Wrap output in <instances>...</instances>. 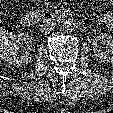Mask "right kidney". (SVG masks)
<instances>
[{
	"label": "right kidney",
	"mask_w": 113,
	"mask_h": 113,
	"mask_svg": "<svg viewBox=\"0 0 113 113\" xmlns=\"http://www.w3.org/2000/svg\"><path fill=\"white\" fill-rule=\"evenodd\" d=\"M25 43L23 52L19 55V45ZM32 46V39L27 33H19L16 38L9 45L6 53L4 54L5 61L12 66H24L28 65L32 60L30 54Z\"/></svg>",
	"instance_id": "right-kidney-1"
}]
</instances>
